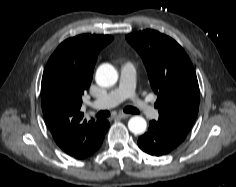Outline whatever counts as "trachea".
Listing matches in <instances>:
<instances>
[{"label": "trachea", "mask_w": 236, "mask_h": 187, "mask_svg": "<svg viewBox=\"0 0 236 187\" xmlns=\"http://www.w3.org/2000/svg\"><path fill=\"white\" fill-rule=\"evenodd\" d=\"M124 112H126V113H131V114H139V111H138L136 108L131 107V106L125 107V108H124ZM108 116H110V112L107 111V110L100 111V112L96 115V117H97L98 119H99V118H106V117H108Z\"/></svg>", "instance_id": "1"}]
</instances>
